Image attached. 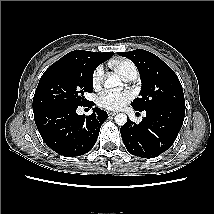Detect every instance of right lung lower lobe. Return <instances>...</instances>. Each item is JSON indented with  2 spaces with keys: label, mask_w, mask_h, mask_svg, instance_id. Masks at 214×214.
Segmentation results:
<instances>
[{
  "label": "right lung lower lobe",
  "mask_w": 214,
  "mask_h": 214,
  "mask_svg": "<svg viewBox=\"0 0 214 214\" xmlns=\"http://www.w3.org/2000/svg\"><path fill=\"white\" fill-rule=\"evenodd\" d=\"M93 104L90 101L82 105L57 104L35 111V123L46 145L65 157L89 152L108 114L98 107L89 116L78 115L76 110L79 106L91 108Z\"/></svg>",
  "instance_id": "obj_1"
}]
</instances>
